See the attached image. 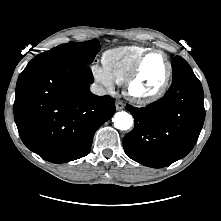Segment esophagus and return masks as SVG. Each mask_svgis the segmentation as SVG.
<instances>
[{"label":"esophagus","mask_w":221,"mask_h":221,"mask_svg":"<svg viewBox=\"0 0 221 221\" xmlns=\"http://www.w3.org/2000/svg\"><path fill=\"white\" fill-rule=\"evenodd\" d=\"M115 106H116V110L119 111V110L124 109L125 104H124L123 101H121V100H117L116 103H115Z\"/></svg>","instance_id":"esophagus-1"}]
</instances>
